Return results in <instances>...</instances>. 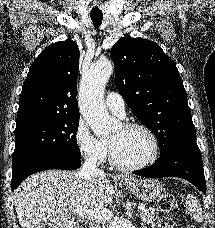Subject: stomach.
Returning <instances> with one entry per match:
<instances>
[{
    "mask_svg": "<svg viewBox=\"0 0 215 228\" xmlns=\"http://www.w3.org/2000/svg\"><path fill=\"white\" fill-rule=\"evenodd\" d=\"M120 184L127 186L130 192L144 200V202H155L156 198L162 196L164 190L158 180H134V178H129V176H121L119 178Z\"/></svg>",
    "mask_w": 215,
    "mask_h": 228,
    "instance_id": "obj_1",
    "label": "stomach"
}]
</instances>
